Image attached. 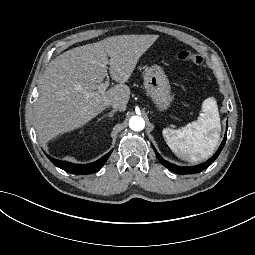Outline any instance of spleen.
Wrapping results in <instances>:
<instances>
[{"mask_svg": "<svg viewBox=\"0 0 255 255\" xmlns=\"http://www.w3.org/2000/svg\"><path fill=\"white\" fill-rule=\"evenodd\" d=\"M220 132V119L214 98L209 97L202 104V121H193L176 130L165 128L162 135L168 147L183 159L198 160L212 155ZM182 150L190 151L183 155Z\"/></svg>", "mask_w": 255, "mask_h": 255, "instance_id": "spleen-1", "label": "spleen"}]
</instances>
